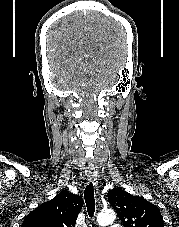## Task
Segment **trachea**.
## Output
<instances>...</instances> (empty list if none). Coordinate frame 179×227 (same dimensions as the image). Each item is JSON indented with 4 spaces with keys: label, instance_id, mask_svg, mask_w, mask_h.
I'll list each match as a JSON object with an SVG mask.
<instances>
[{
    "label": "trachea",
    "instance_id": "3493384b",
    "mask_svg": "<svg viewBox=\"0 0 179 227\" xmlns=\"http://www.w3.org/2000/svg\"><path fill=\"white\" fill-rule=\"evenodd\" d=\"M85 203L87 206L88 215L92 218L95 212V198H94V187L90 182L84 191Z\"/></svg>",
    "mask_w": 179,
    "mask_h": 227
}]
</instances>
